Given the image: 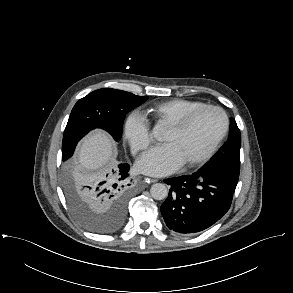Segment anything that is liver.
<instances>
[{"mask_svg":"<svg viewBox=\"0 0 293 293\" xmlns=\"http://www.w3.org/2000/svg\"><path fill=\"white\" fill-rule=\"evenodd\" d=\"M115 148L109 136L103 131H95L86 137L78 152L79 168L90 173L93 178L114 160Z\"/></svg>","mask_w":293,"mask_h":293,"instance_id":"1","label":"liver"}]
</instances>
